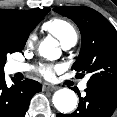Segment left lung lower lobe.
Wrapping results in <instances>:
<instances>
[{
	"label": "left lung lower lobe",
	"mask_w": 117,
	"mask_h": 117,
	"mask_svg": "<svg viewBox=\"0 0 117 117\" xmlns=\"http://www.w3.org/2000/svg\"><path fill=\"white\" fill-rule=\"evenodd\" d=\"M86 96L72 114H58L57 117H110L117 106V86L108 84L87 85Z\"/></svg>",
	"instance_id": "1"
}]
</instances>
